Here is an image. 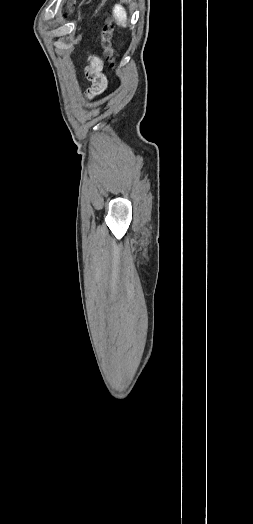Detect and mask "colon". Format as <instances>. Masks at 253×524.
<instances>
[{"mask_svg": "<svg viewBox=\"0 0 253 524\" xmlns=\"http://www.w3.org/2000/svg\"><path fill=\"white\" fill-rule=\"evenodd\" d=\"M114 30L109 22H106L100 33V45L105 59L111 64H115L116 52L114 49Z\"/></svg>", "mask_w": 253, "mask_h": 524, "instance_id": "5ec220e1", "label": "colon"}]
</instances>
